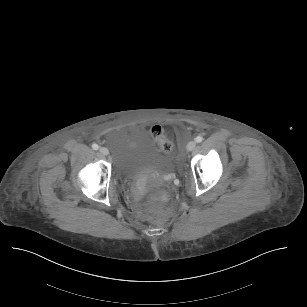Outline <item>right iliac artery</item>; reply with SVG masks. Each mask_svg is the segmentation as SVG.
<instances>
[{
  "label": "right iliac artery",
  "mask_w": 307,
  "mask_h": 307,
  "mask_svg": "<svg viewBox=\"0 0 307 307\" xmlns=\"http://www.w3.org/2000/svg\"><path fill=\"white\" fill-rule=\"evenodd\" d=\"M92 148H93L94 150H98V149H99V146H98L96 143H94V144H92Z\"/></svg>",
  "instance_id": "1"
}]
</instances>
